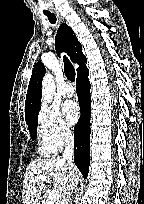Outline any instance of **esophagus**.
I'll return each instance as SVG.
<instances>
[{"instance_id":"1","label":"esophagus","mask_w":144,"mask_h":204,"mask_svg":"<svg viewBox=\"0 0 144 204\" xmlns=\"http://www.w3.org/2000/svg\"><path fill=\"white\" fill-rule=\"evenodd\" d=\"M57 16L61 19V16H60V14L59 13H57Z\"/></svg>"}]
</instances>
